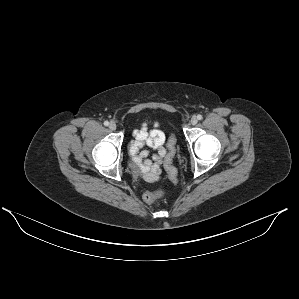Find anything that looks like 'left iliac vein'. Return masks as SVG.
<instances>
[{
  "label": "left iliac vein",
  "mask_w": 299,
  "mask_h": 299,
  "mask_svg": "<svg viewBox=\"0 0 299 299\" xmlns=\"http://www.w3.org/2000/svg\"><path fill=\"white\" fill-rule=\"evenodd\" d=\"M197 122H198V118H197L196 116H193V117L191 118V120H190V123H191L192 125H196Z\"/></svg>",
  "instance_id": "1"
}]
</instances>
